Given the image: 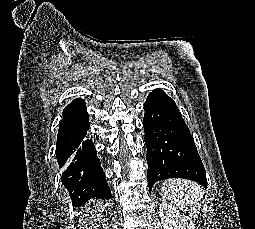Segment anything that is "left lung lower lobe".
Returning <instances> with one entry per match:
<instances>
[{"label":"left lung lower lobe","instance_id":"1","mask_svg":"<svg viewBox=\"0 0 255 229\" xmlns=\"http://www.w3.org/2000/svg\"><path fill=\"white\" fill-rule=\"evenodd\" d=\"M149 191L163 179H190L207 187L206 171L176 103L161 89L144 103Z\"/></svg>","mask_w":255,"mask_h":229}]
</instances>
